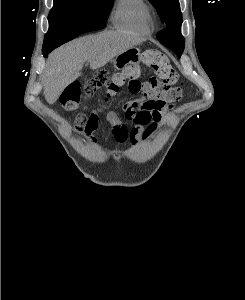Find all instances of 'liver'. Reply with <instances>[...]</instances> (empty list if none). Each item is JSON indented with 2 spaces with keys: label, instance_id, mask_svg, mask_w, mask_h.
<instances>
[{
  "label": "liver",
  "instance_id": "liver-1",
  "mask_svg": "<svg viewBox=\"0 0 245 300\" xmlns=\"http://www.w3.org/2000/svg\"><path fill=\"white\" fill-rule=\"evenodd\" d=\"M141 41L133 34L103 31L56 49L50 54L43 75L46 101L54 104L64 89L81 75L86 61L90 63L91 69L100 68Z\"/></svg>",
  "mask_w": 245,
  "mask_h": 300
}]
</instances>
